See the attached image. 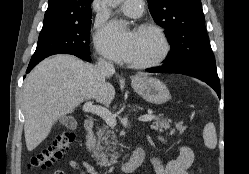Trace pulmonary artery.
Instances as JSON below:
<instances>
[{"instance_id": "obj_1", "label": "pulmonary artery", "mask_w": 249, "mask_h": 174, "mask_svg": "<svg viewBox=\"0 0 249 174\" xmlns=\"http://www.w3.org/2000/svg\"><path fill=\"white\" fill-rule=\"evenodd\" d=\"M121 9L131 17H138L143 10V0H124Z\"/></svg>"}]
</instances>
